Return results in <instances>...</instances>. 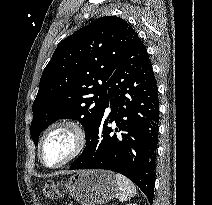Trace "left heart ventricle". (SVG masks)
Segmentation results:
<instances>
[{"label": "left heart ventricle", "mask_w": 212, "mask_h": 205, "mask_svg": "<svg viewBox=\"0 0 212 205\" xmlns=\"http://www.w3.org/2000/svg\"><path fill=\"white\" fill-rule=\"evenodd\" d=\"M73 139L65 130L55 131L47 139L43 148V157L48 164H55L64 159L71 151Z\"/></svg>", "instance_id": "1"}]
</instances>
